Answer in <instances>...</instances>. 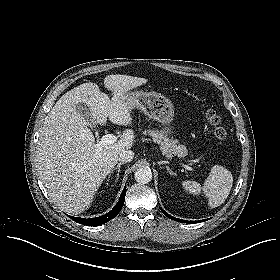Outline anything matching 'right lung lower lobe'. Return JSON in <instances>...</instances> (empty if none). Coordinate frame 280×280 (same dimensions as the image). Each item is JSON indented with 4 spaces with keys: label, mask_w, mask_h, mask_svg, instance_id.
<instances>
[{
    "label": "right lung lower lobe",
    "mask_w": 280,
    "mask_h": 280,
    "mask_svg": "<svg viewBox=\"0 0 280 280\" xmlns=\"http://www.w3.org/2000/svg\"><path fill=\"white\" fill-rule=\"evenodd\" d=\"M125 194H126V186L124 187V189L121 193V196H120V199H119L117 205L110 212H108L105 215H102V216L96 217V218H90V219H84V218L71 216V219L77 223L87 225V226H98V225L104 224V223L110 221L111 219L115 218L118 215V213L120 212V210L123 207V204L125 201Z\"/></svg>",
    "instance_id": "98d812e1"
}]
</instances>
